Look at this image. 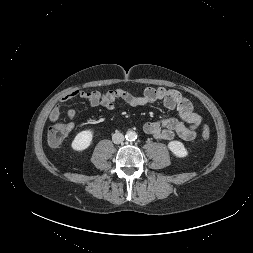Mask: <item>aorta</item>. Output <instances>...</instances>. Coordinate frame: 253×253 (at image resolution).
<instances>
[{
    "mask_svg": "<svg viewBox=\"0 0 253 253\" xmlns=\"http://www.w3.org/2000/svg\"><path fill=\"white\" fill-rule=\"evenodd\" d=\"M125 138L128 141H134L135 139H137V134L135 131L129 130L126 133Z\"/></svg>",
    "mask_w": 253,
    "mask_h": 253,
    "instance_id": "762f6f07",
    "label": "aorta"
}]
</instances>
